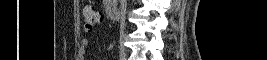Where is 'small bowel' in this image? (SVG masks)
<instances>
[{"label":"small bowel","instance_id":"c3829d8e","mask_svg":"<svg viewBox=\"0 0 267 60\" xmlns=\"http://www.w3.org/2000/svg\"><path fill=\"white\" fill-rule=\"evenodd\" d=\"M88 43H89V41H88L87 39H83V40H82V44H83L84 46H87Z\"/></svg>","mask_w":267,"mask_h":60}]
</instances>
